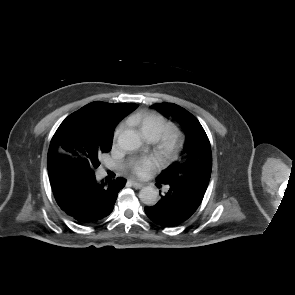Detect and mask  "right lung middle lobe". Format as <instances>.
Instances as JSON below:
<instances>
[{
    "label": "right lung middle lobe",
    "instance_id": "1",
    "mask_svg": "<svg viewBox=\"0 0 295 295\" xmlns=\"http://www.w3.org/2000/svg\"><path fill=\"white\" fill-rule=\"evenodd\" d=\"M112 136L107 138L105 141L98 143L94 141L90 145V150L88 152V159L83 163L81 167L84 172H92L95 171L99 165L98 155L101 153H107L112 148Z\"/></svg>",
    "mask_w": 295,
    "mask_h": 295
}]
</instances>
